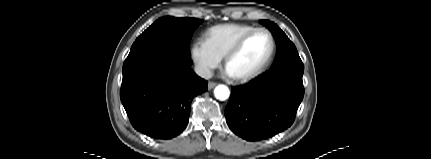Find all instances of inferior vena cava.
<instances>
[{
    "instance_id": "602c4592",
    "label": "inferior vena cava",
    "mask_w": 431,
    "mask_h": 159,
    "mask_svg": "<svg viewBox=\"0 0 431 159\" xmlns=\"http://www.w3.org/2000/svg\"><path fill=\"white\" fill-rule=\"evenodd\" d=\"M194 70L198 76H200L204 79H210L213 76L212 70L206 66H203V65H196Z\"/></svg>"
}]
</instances>
